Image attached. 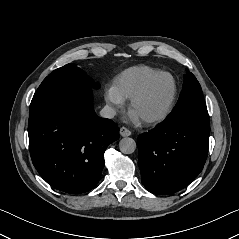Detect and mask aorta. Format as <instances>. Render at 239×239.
Returning a JSON list of instances; mask_svg holds the SVG:
<instances>
[{
	"label": "aorta",
	"mask_w": 239,
	"mask_h": 239,
	"mask_svg": "<svg viewBox=\"0 0 239 239\" xmlns=\"http://www.w3.org/2000/svg\"><path fill=\"white\" fill-rule=\"evenodd\" d=\"M137 144L130 137L122 138L119 142V149L124 154H132L136 150Z\"/></svg>",
	"instance_id": "1"
}]
</instances>
